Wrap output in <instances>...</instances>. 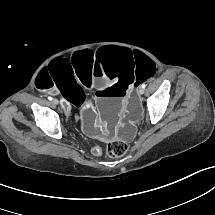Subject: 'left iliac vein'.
<instances>
[{
  "mask_svg": "<svg viewBox=\"0 0 215 215\" xmlns=\"http://www.w3.org/2000/svg\"><path fill=\"white\" fill-rule=\"evenodd\" d=\"M138 93L141 95L144 93V88L142 86H139Z\"/></svg>",
  "mask_w": 215,
  "mask_h": 215,
  "instance_id": "1",
  "label": "left iliac vein"
}]
</instances>
